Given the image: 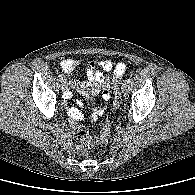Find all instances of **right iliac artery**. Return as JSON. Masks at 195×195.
I'll use <instances>...</instances> for the list:
<instances>
[{
  "label": "right iliac artery",
  "instance_id": "obj_1",
  "mask_svg": "<svg viewBox=\"0 0 195 195\" xmlns=\"http://www.w3.org/2000/svg\"><path fill=\"white\" fill-rule=\"evenodd\" d=\"M59 79H60V81H62L63 80V76L59 75Z\"/></svg>",
  "mask_w": 195,
  "mask_h": 195
}]
</instances>
